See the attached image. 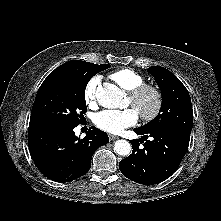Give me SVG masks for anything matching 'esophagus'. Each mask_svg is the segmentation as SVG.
Returning a JSON list of instances; mask_svg holds the SVG:
<instances>
[{
  "label": "esophagus",
  "mask_w": 221,
  "mask_h": 221,
  "mask_svg": "<svg viewBox=\"0 0 221 221\" xmlns=\"http://www.w3.org/2000/svg\"><path fill=\"white\" fill-rule=\"evenodd\" d=\"M118 138H119V137L116 136V135H112V134L109 135V139H110V140H116V139H118Z\"/></svg>",
  "instance_id": "esophagus-1"
}]
</instances>
